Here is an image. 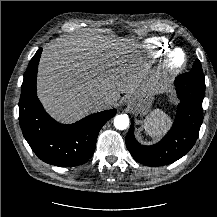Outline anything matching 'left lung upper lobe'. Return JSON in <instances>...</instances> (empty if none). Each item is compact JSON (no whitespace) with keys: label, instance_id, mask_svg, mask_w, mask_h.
Masks as SVG:
<instances>
[{"label":"left lung upper lobe","instance_id":"obj_1","mask_svg":"<svg viewBox=\"0 0 217 217\" xmlns=\"http://www.w3.org/2000/svg\"><path fill=\"white\" fill-rule=\"evenodd\" d=\"M189 74L193 76L200 83L205 84L203 70L201 67V63L198 59H196V61L194 62L193 68L191 69Z\"/></svg>","mask_w":217,"mask_h":217}]
</instances>
